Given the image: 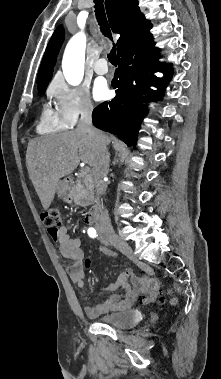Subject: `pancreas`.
Listing matches in <instances>:
<instances>
[{
	"mask_svg": "<svg viewBox=\"0 0 221 379\" xmlns=\"http://www.w3.org/2000/svg\"><path fill=\"white\" fill-rule=\"evenodd\" d=\"M74 197L86 201L94 199V184L91 175H79L74 187Z\"/></svg>",
	"mask_w": 221,
	"mask_h": 379,
	"instance_id": "obj_1",
	"label": "pancreas"
}]
</instances>
